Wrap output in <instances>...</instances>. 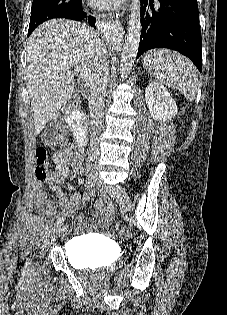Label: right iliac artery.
I'll return each instance as SVG.
<instances>
[{"mask_svg":"<svg viewBox=\"0 0 227 315\" xmlns=\"http://www.w3.org/2000/svg\"><path fill=\"white\" fill-rule=\"evenodd\" d=\"M85 188L86 189H92L93 187H94V182H93V180H87L86 182H85ZM65 217H60L58 220H57V224H61L62 222H64L65 221ZM30 264H31V262L29 261V260H27L26 261V265H25V267L26 268H28L29 266H30Z\"/></svg>","mask_w":227,"mask_h":315,"instance_id":"1","label":"right iliac artery"}]
</instances>
